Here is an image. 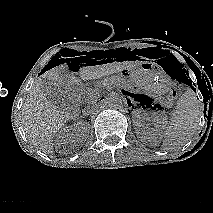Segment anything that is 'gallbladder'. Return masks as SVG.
Returning <instances> with one entry per match:
<instances>
[{"label": "gallbladder", "mask_w": 213, "mask_h": 213, "mask_svg": "<svg viewBox=\"0 0 213 213\" xmlns=\"http://www.w3.org/2000/svg\"><path fill=\"white\" fill-rule=\"evenodd\" d=\"M41 89L47 99L60 111H66L70 109V102L63 87L58 86L52 80L43 79L41 82Z\"/></svg>", "instance_id": "bac80fb5"}]
</instances>
